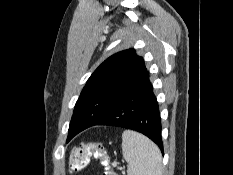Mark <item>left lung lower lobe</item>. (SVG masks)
<instances>
[{
	"mask_svg": "<svg viewBox=\"0 0 233 175\" xmlns=\"http://www.w3.org/2000/svg\"><path fill=\"white\" fill-rule=\"evenodd\" d=\"M94 125H109L141 132L163 151L158 102L146 71L138 78Z\"/></svg>",
	"mask_w": 233,
	"mask_h": 175,
	"instance_id": "1",
	"label": "left lung lower lobe"
}]
</instances>
